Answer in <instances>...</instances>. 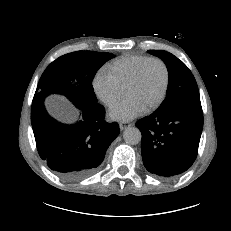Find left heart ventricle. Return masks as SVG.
<instances>
[{"mask_svg":"<svg viewBox=\"0 0 231 231\" xmlns=\"http://www.w3.org/2000/svg\"><path fill=\"white\" fill-rule=\"evenodd\" d=\"M165 74L164 69L158 62H152L145 68L139 82L125 92L127 98H135L145 108L153 104L159 97Z\"/></svg>","mask_w":231,"mask_h":231,"instance_id":"1","label":"left heart ventricle"}]
</instances>
